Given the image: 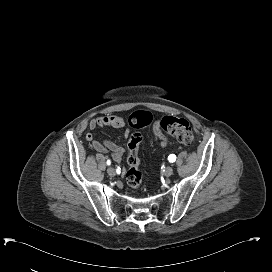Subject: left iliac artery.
<instances>
[{"label": "left iliac artery", "instance_id": "44dca946", "mask_svg": "<svg viewBox=\"0 0 272 272\" xmlns=\"http://www.w3.org/2000/svg\"><path fill=\"white\" fill-rule=\"evenodd\" d=\"M168 160H169V162L173 163L176 160V156L174 154H171V155L168 156Z\"/></svg>", "mask_w": 272, "mask_h": 272}]
</instances>
